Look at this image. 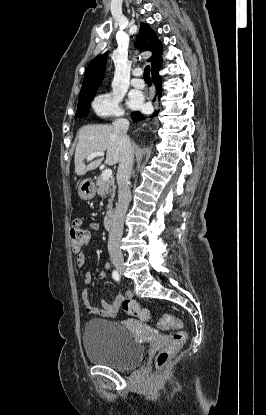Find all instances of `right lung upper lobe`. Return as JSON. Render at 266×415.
Returning <instances> with one entry per match:
<instances>
[{"mask_svg": "<svg viewBox=\"0 0 266 415\" xmlns=\"http://www.w3.org/2000/svg\"><path fill=\"white\" fill-rule=\"evenodd\" d=\"M136 44L140 50L152 52V57L149 60L152 66V74L158 71L161 63L162 44L148 24H140ZM107 56L108 54L104 53L90 63L84 75L79 97L96 92L104 77Z\"/></svg>", "mask_w": 266, "mask_h": 415, "instance_id": "1", "label": "right lung upper lobe"}]
</instances>
